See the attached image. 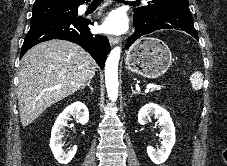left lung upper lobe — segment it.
<instances>
[{
    "label": "left lung upper lobe",
    "instance_id": "1",
    "mask_svg": "<svg viewBox=\"0 0 227 166\" xmlns=\"http://www.w3.org/2000/svg\"><path fill=\"white\" fill-rule=\"evenodd\" d=\"M189 5L188 0H150L148 5L134 9V16L140 19L148 18L156 9Z\"/></svg>",
    "mask_w": 227,
    "mask_h": 166
}]
</instances>
